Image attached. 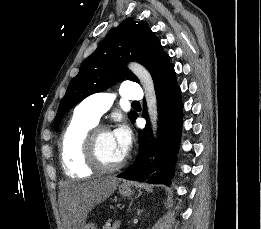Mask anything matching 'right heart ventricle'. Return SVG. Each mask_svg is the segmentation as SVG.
<instances>
[{
	"instance_id": "right-heart-ventricle-1",
	"label": "right heart ventricle",
	"mask_w": 261,
	"mask_h": 229,
	"mask_svg": "<svg viewBox=\"0 0 261 229\" xmlns=\"http://www.w3.org/2000/svg\"><path fill=\"white\" fill-rule=\"evenodd\" d=\"M96 126L85 116L79 105L61 134L58 150L63 169L71 175H91L94 171L86 156L87 142Z\"/></svg>"
}]
</instances>
